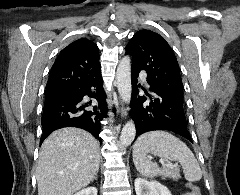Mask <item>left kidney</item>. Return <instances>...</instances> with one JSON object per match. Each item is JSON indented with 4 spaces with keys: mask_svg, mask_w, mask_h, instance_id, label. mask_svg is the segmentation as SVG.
I'll use <instances>...</instances> for the list:
<instances>
[{
    "mask_svg": "<svg viewBox=\"0 0 240 195\" xmlns=\"http://www.w3.org/2000/svg\"><path fill=\"white\" fill-rule=\"evenodd\" d=\"M134 185L136 195H172L170 189L160 181H147L143 177H136Z\"/></svg>",
    "mask_w": 240,
    "mask_h": 195,
    "instance_id": "1",
    "label": "left kidney"
}]
</instances>
